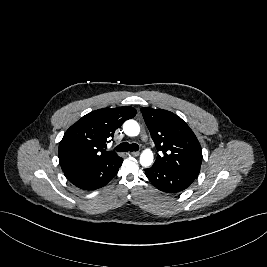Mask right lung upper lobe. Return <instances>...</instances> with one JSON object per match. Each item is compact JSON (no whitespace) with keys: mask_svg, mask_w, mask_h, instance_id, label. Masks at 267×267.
Returning <instances> with one entry per match:
<instances>
[{"mask_svg":"<svg viewBox=\"0 0 267 267\" xmlns=\"http://www.w3.org/2000/svg\"><path fill=\"white\" fill-rule=\"evenodd\" d=\"M137 111L129 106L103 108L88 113L73 124L59 144V162L63 172L84 165L118 156L106 151V142L124 121L131 119Z\"/></svg>","mask_w":267,"mask_h":267,"instance_id":"cb5924a9","label":"right lung upper lobe"}]
</instances>
